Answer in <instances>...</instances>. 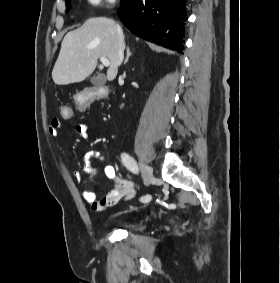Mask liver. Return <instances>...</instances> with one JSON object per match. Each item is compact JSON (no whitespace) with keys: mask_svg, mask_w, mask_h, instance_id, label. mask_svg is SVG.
<instances>
[{"mask_svg":"<svg viewBox=\"0 0 280 283\" xmlns=\"http://www.w3.org/2000/svg\"><path fill=\"white\" fill-rule=\"evenodd\" d=\"M99 57L110 61L108 81L118 73V32L116 23L106 17L88 19L80 28L68 32L52 71L57 85L81 82L96 68Z\"/></svg>","mask_w":280,"mask_h":283,"instance_id":"obj_1","label":"liver"}]
</instances>
